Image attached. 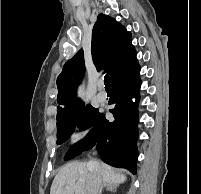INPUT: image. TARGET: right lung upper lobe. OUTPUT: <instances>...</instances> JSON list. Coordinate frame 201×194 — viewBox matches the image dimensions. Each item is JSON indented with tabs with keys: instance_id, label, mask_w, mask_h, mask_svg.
<instances>
[{
	"instance_id": "cb5924a9",
	"label": "right lung upper lobe",
	"mask_w": 201,
	"mask_h": 194,
	"mask_svg": "<svg viewBox=\"0 0 201 194\" xmlns=\"http://www.w3.org/2000/svg\"><path fill=\"white\" fill-rule=\"evenodd\" d=\"M131 34L114 18L99 14L92 31L91 53L98 71L105 69L111 82L129 70L137 61L131 44ZM85 70L84 53L80 49L67 61L57 78L58 107L57 119L76 111L83 103L76 95L77 85Z\"/></svg>"
}]
</instances>
